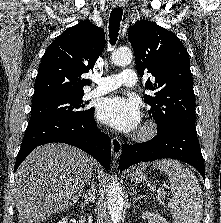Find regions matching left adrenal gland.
Wrapping results in <instances>:
<instances>
[{
  "instance_id": "a2214340",
  "label": "left adrenal gland",
  "mask_w": 221,
  "mask_h": 223,
  "mask_svg": "<svg viewBox=\"0 0 221 223\" xmlns=\"http://www.w3.org/2000/svg\"><path fill=\"white\" fill-rule=\"evenodd\" d=\"M141 198H143V196H138L137 195V192L136 191H133V203L137 202Z\"/></svg>"
}]
</instances>
